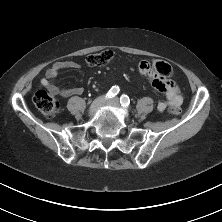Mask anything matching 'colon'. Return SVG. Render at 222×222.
I'll list each match as a JSON object with an SVG mask.
<instances>
[{
  "instance_id": "obj_1",
  "label": "colon",
  "mask_w": 222,
  "mask_h": 222,
  "mask_svg": "<svg viewBox=\"0 0 222 222\" xmlns=\"http://www.w3.org/2000/svg\"><path fill=\"white\" fill-rule=\"evenodd\" d=\"M112 57L113 53L110 50H102L90 54L86 58V63L89 66L103 67L111 61ZM147 64L151 65V70H155L156 72L164 76L166 80L170 79L173 75L172 67L166 61L155 60L152 62H147ZM33 101L38 110L48 118L54 117L59 111L58 101L51 93L45 90L37 91L33 97ZM169 112L171 114H179L180 109L177 107H170Z\"/></svg>"
}]
</instances>
